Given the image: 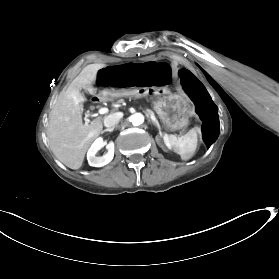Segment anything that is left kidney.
Instances as JSON below:
<instances>
[{
    "instance_id": "left-kidney-1",
    "label": "left kidney",
    "mask_w": 279,
    "mask_h": 279,
    "mask_svg": "<svg viewBox=\"0 0 279 279\" xmlns=\"http://www.w3.org/2000/svg\"><path fill=\"white\" fill-rule=\"evenodd\" d=\"M163 140H164V143L166 144V146H169V145H170L169 139H168V136H167V135L163 136Z\"/></svg>"
}]
</instances>
